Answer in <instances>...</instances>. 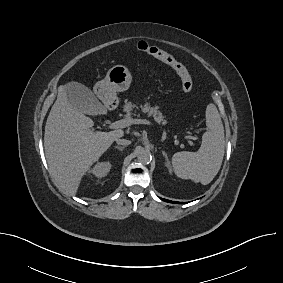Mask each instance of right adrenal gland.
I'll return each instance as SVG.
<instances>
[{"label":"right adrenal gland","mask_w":283,"mask_h":283,"mask_svg":"<svg viewBox=\"0 0 283 283\" xmlns=\"http://www.w3.org/2000/svg\"><path fill=\"white\" fill-rule=\"evenodd\" d=\"M114 148H116V149H118L120 151H123V149H124V147H122V146H115Z\"/></svg>","instance_id":"1"}]
</instances>
